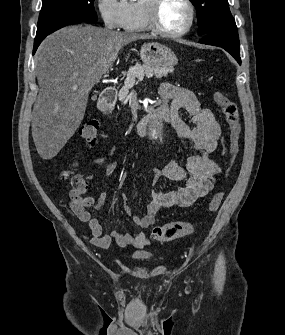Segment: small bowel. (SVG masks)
<instances>
[{
  "label": "small bowel",
  "mask_w": 285,
  "mask_h": 335,
  "mask_svg": "<svg viewBox=\"0 0 285 335\" xmlns=\"http://www.w3.org/2000/svg\"><path fill=\"white\" fill-rule=\"evenodd\" d=\"M159 93L164 102H169V106L174 112L171 124L175 133L189 143L192 154L187 158L185 165L173 161L163 168H155L152 171L154 184L159 178L165 177L182 182V185L176 190L154 188L144 215L134 214L127 203L126 195H122L123 210L141 229L152 226L161 209L190 207L198 199L207 195L213 189L216 176L221 170L220 165L213 157L219 146L221 127L212 111L202 107L196 95L189 89L164 83L160 86ZM182 110L187 113L190 122L182 118L180 114ZM114 154L115 149L110 152L111 156ZM97 169H104L107 177H110L115 173L117 164L110 158L94 160L91 172L79 178V184L70 193L72 212L89 227V232L84 235L85 238L98 247H108L115 240L121 245L131 244L138 249L144 248L148 244L145 233L139 232L133 235L114 230L110 234H105L98 220L87 211L88 208H102L107 202L105 191L96 198L83 197L87 182L91 178L92 172Z\"/></svg>",
  "instance_id": "small-bowel-1"
}]
</instances>
